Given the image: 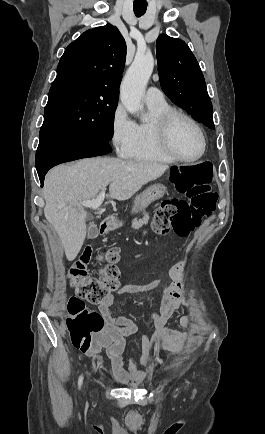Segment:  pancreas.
I'll return each instance as SVG.
<instances>
[{
  "instance_id": "obj_1",
  "label": "pancreas",
  "mask_w": 265,
  "mask_h": 434,
  "mask_svg": "<svg viewBox=\"0 0 265 434\" xmlns=\"http://www.w3.org/2000/svg\"><path fill=\"white\" fill-rule=\"evenodd\" d=\"M143 214L144 218H142V220H137V218L132 220L131 228H134V230H139V228H142L143 224H148L149 214H147V212H143Z\"/></svg>"
}]
</instances>
